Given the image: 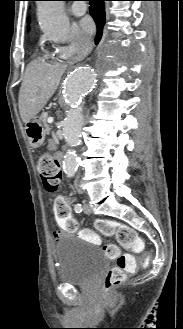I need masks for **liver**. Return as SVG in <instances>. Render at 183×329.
<instances>
[{"label":"liver","instance_id":"1","mask_svg":"<svg viewBox=\"0 0 183 329\" xmlns=\"http://www.w3.org/2000/svg\"><path fill=\"white\" fill-rule=\"evenodd\" d=\"M65 69V65L40 59L29 63L19 91V111L24 123L33 119L52 97Z\"/></svg>","mask_w":183,"mask_h":329}]
</instances>
